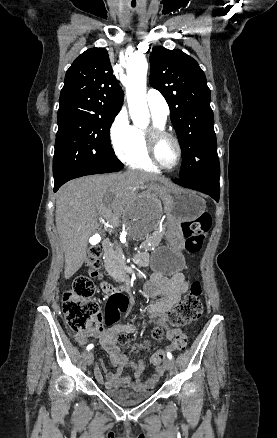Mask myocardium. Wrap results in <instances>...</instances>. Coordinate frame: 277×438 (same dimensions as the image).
<instances>
[{
  "mask_svg": "<svg viewBox=\"0 0 277 438\" xmlns=\"http://www.w3.org/2000/svg\"><path fill=\"white\" fill-rule=\"evenodd\" d=\"M170 139L174 142L177 149V158L175 163L171 166H165L159 159L158 155V149L161 141L163 139ZM145 144L148 151V154L150 156L151 161L160 169L171 171L178 167V165L181 162L182 159V145L179 141V139L171 132L167 131L165 128L158 126V125H151L146 131H145Z\"/></svg>",
  "mask_w": 277,
  "mask_h": 438,
  "instance_id": "1",
  "label": "myocardium"
}]
</instances>
